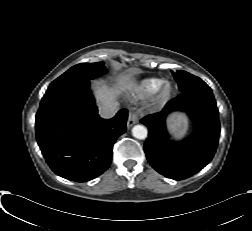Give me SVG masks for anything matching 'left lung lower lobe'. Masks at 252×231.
Masks as SVG:
<instances>
[{"label":"left lung lower lobe","mask_w":252,"mask_h":231,"mask_svg":"<svg viewBox=\"0 0 252 231\" xmlns=\"http://www.w3.org/2000/svg\"><path fill=\"white\" fill-rule=\"evenodd\" d=\"M172 111H184L194 122L192 136L175 146H171L165 127V119ZM141 122L149 129L144 144L148 162L168 178L181 180L194 175L212 160L216 152L220 123L210 87L183 91L161 112L148 115Z\"/></svg>","instance_id":"1"}]
</instances>
